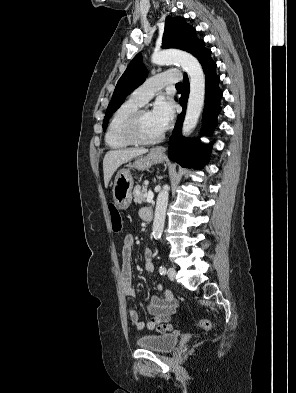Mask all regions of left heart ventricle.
I'll use <instances>...</instances> for the list:
<instances>
[{
    "mask_svg": "<svg viewBox=\"0 0 296 393\" xmlns=\"http://www.w3.org/2000/svg\"><path fill=\"white\" fill-rule=\"evenodd\" d=\"M161 132L156 127L151 112H145L140 121V135L145 139L154 138L160 135Z\"/></svg>",
    "mask_w": 296,
    "mask_h": 393,
    "instance_id": "left-heart-ventricle-1",
    "label": "left heart ventricle"
}]
</instances>
